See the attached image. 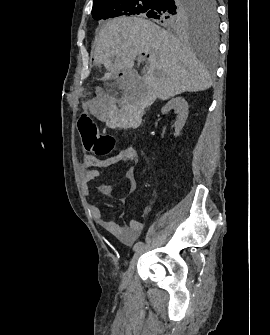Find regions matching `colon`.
Masks as SVG:
<instances>
[{
	"instance_id": "5ec220e1",
	"label": "colon",
	"mask_w": 270,
	"mask_h": 335,
	"mask_svg": "<svg viewBox=\"0 0 270 335\" xmlns=\"http://www.w3.org/2000/svg\"><path fill=\"white\" fill-rule=\"evenodd\" d=\"M77 123H82L80 128L85 149L98 158L106 157L116 151L119 141L108 133L99 131L92 116H77Z\"/></svg>"
}]
</instances>
